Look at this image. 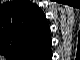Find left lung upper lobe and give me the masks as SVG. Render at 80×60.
<instances>
[{"label":"left lung upper lobe","instance_id":"left-lung-upper-lobe-1","mask_svg":"<svg viewBox=\"0 0 80 60\" xmlns=\"http://www.w3.org/2000/svg\"><path fill=\"white\" fill-rule=\"evenodd\" d=\"M1 48L34 58L44 41V13L31 2L16 0L0 8Z\"/></svg>","mask_w":80,"mask_h":60}]
</instances>
